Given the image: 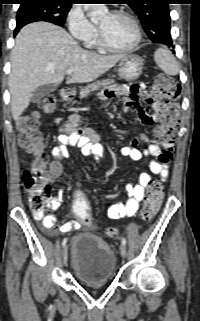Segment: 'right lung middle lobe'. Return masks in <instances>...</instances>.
I'll list each match as a JSON object with an SVG mask.
<instances>
[{
	"label": "right lung middle lobe",
	"instance_id": "1",
	"mask_svg": "<svg viewBox=\"0 0 200 321\" xmlns=\"http://www.w3.org/2000/svg\"><path fill=\"white\" fill-rule=\"evenodd\" d=\"M71 4L58 0H26L20 2L16 26L35 21H47L63 26Z\"/></svg>",
	"mask_w": 200,
	"mask_h": 321
}]
</instances>
